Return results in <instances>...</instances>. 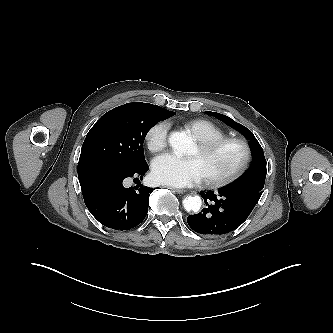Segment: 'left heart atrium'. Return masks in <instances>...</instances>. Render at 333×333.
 I'll return each instance as SVG.
<instances>
[{
  "label": "left heart atrium",
  "mask_w": 333,
  "mask_h": 333,
  "mask_svg": "<svg viewBox=\"0 0 333 333\" xmlns=\"http://www.w3.org/2000/svg\"><path fill=\"white\" fill-rule=\"evenodd\" d=\"M153 177L159 183L187 187L199 183L204 177L198 161L171 153L157 157L152 165Z\"/></svg>",
  "instance_id": "obj_1"
}]
</instances>
